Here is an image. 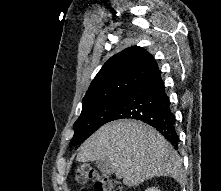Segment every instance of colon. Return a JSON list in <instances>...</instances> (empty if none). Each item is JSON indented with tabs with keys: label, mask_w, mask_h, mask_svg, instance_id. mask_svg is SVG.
Here are the masks:
<instances>
[{
	"label": "colon",
	"mask_w": 221,
	"mask_h": 191,
	"mask_svg": "<svg viewBox=\"0 0 221 191\" xmlns=\"http://www.w3.org/2000/svg\"><path fill=\"white\" fill-rule=\"evenodd\" d=\"M74 179L82 187L92 182L96 191H124L120 181L100 173L89 165L79 166L75 171ZM81 191L86 190L82 188Z\"/></svg>",
	"instance_id": "obj_1"
}]
</instances>
